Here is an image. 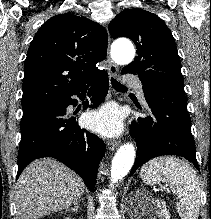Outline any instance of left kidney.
Here are the masks:
<instances>
[{"instance_id":"1","label":"left kidney","mask_w":211,"mask_h":219,"mask_svg":"<svg viewBox=\"0 0 211 219\" xmlns=\"http://www.w3.org/2000/svg\"><path fill=\"white\" fill-rule=\"evenodd\" d=\"M146 194V192H145ZM153 206L148 216L151 219H170V214L163 200H152Z\"/></svg>"}]
</instances>
